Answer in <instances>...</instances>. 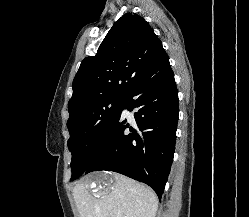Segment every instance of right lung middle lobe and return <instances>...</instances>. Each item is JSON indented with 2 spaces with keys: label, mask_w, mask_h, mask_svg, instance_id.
<instances>
[{
  "label": "right lung middle lobe",
  "mask_w": 249,
  "mask_h": 217,
  "mask_svg": "<svg viewBox=\"0 0 249 217\" xmlns=\"http://www.w3.org/2000/svg\"><path fill=\"white\" fill-rule=\"evenodd\" d=\"M125 97L101 98L70 113L68 148L72 154L71 180L83 173L84 162L119 116Z\"/></svg>",
  "instance_id": "right-lung-middle-lobe-1"
}]
</instances>
